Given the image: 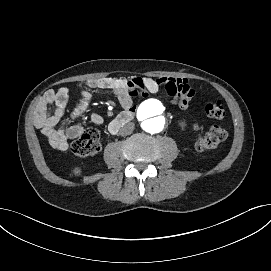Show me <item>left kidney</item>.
<instances>
[{"label":"left kidney","instance_id":"left-kidney-1","mask_svg":"<svg viewBox=\"0 0 271 271\" xmlns=\"http://www.w3.org/2000/svg\"><path fill=\"white\" fill-rule=\"evenodd\" d=\"M194 129L198 130L199 128H198V126H197V125H194Z\"/></svg>","mask_w":271,"mask_h":271}]
</instances>
